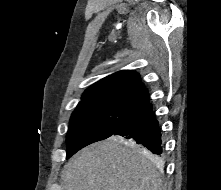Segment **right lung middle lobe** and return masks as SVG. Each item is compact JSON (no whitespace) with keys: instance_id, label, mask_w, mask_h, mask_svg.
<instances>
[{"instance_id":"1","label":"right lung middle lobe","mask_w":221,"mask_h":190,"mask_svg":"<svg viewBox=\"0 0 221 190\" xmlns=\"http://www.w3.org/2000/svg\"><path fill=\"white\" fill-rule=\"evenodd\" d=\"M135 111L114 104L77 106L70 118L66 138L67 158L81 148L113 135Z\"/></svg>"}]
</instances>
